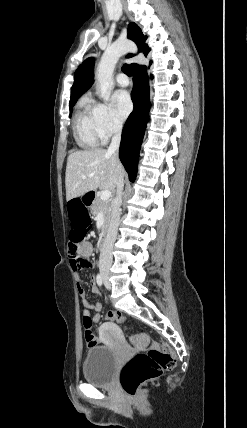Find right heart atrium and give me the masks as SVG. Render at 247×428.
I'll list each match as a JSON object with an SVG mask.
<instances>
[{
  "label": "right heart atrium",
  "mask_w": 247,
  "mask_h": 428,
  "mask_svg": "<svg viewBox=\"0 0 247 428\" xmlns=\"http://www.w3.org/2000/svg\"><path fill=\"white\" fill-rule=\"evenodd\" d=\"M96 130L101 141L106 142L122 130V122L113 108L107 103H96L93 106Z\"/></svg>",
  "instance_id": "obj_1"
}]
</instances>
